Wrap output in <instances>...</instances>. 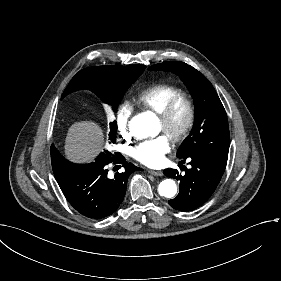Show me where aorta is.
I'll return each instance as SVG.
<instances>
[{
  "mask_svg": "<svg viewBox=\"0 0 281 281\" xmlns=\"http://www.w3.org/2000/svg\"><path fill=\"white\" fill-rule=\"evenodd\" d=\"M130 130L135 137L143 139L156 136L159 133V125L151 113H141L132 118ZM158 192L163 197L172 198L177 193V185L172 179H165L159 184Z\"/></svg>",
  "mask_w": 281,
  "mask_h": 281,
  "instance_id": "aorta-1",
  "label": "aorta"
}]
</instances>
